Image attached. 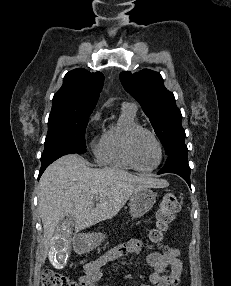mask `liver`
I'll return each mask as SVG.
<instances>
[{
    "instance_id": "1",
    "label": "liver",
    "mask_w": 231,
    "mask_h": 286,
    "mask_svg": "<svg viewBox=\"0 0 231 286\" xmlns=\"http://www.w3.org/2000/svg\"><path fill=\"white\" fill-rule=\"evenodd\" d=\"M167 186L165 180L134 176L118 168H89L77 154L59 158L45 170L39 182L38 210L44 229L45 254L59 236L56 228L65 216L76 218L75 233H78L114 217L135 192Z\"/></svg>"
}]
</instances>
